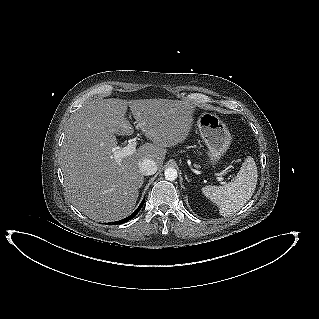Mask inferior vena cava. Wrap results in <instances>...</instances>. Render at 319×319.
Returning <instances> with one entry per match:
<instances>
[{
  "label": "inferior vena cava",
  "mask_w": 319,
  "mask_h": 319,
  "mask_svg": "<svg viewBox=\"0 0 319 319\" xmlns=\"http://www.w3.org/2000/svg\"><path fill=\"white\" fill-rule=\"evenodd\" d=\"M139 169L143 175H153L157 171V164L154 160L146 158L139 163Z\"/></svg>",
  "instance_id": "inferior-vena-cava-1"
}]
</instances>
